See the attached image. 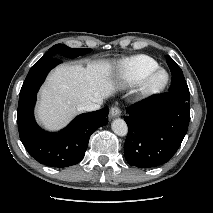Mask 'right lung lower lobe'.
<instances>
[{
	"label": "right lung lower lobe",
	"mask_w": 213,
	"mask_h": 213,
	"mask_svg": "<svg viewBox=\"0 0 213 213\" xmlns=\"http://www.w3.org/2000/svg\"><path fill=\"white\" fill-rule=\"evenodd\" d=\"M56 57L38 61L30 69L19 95L17 122L20 140L39 163L50 167H68L79 163L91 134L108 122V108L82 114L59 133L42 130L34 119L36 95L48 72L61 63Z\"/></svg>",
	"instance_id": "right-lung-lower-lobe-1"
}]
</instances>
